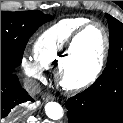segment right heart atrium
Returning a JSON list of instances; mask_svg holds the SVG:
<instances>
[{
  "label": "right heart atrium",
  "instance_id": "1",
  "mask_svg": "<svg viewBox=\"0 0 123 123\" xmlns=\"http://www.w3.org/2000/svg\"><path fill=\"white\" fill-rule=\"evenodd\" d=\"M20 63L26 75L38 80L43 79V68L35 61L33 57L23 56Z\"/></svg>",
  "mask_w": 123,
  "mask_h": 123
}]
</instances>
